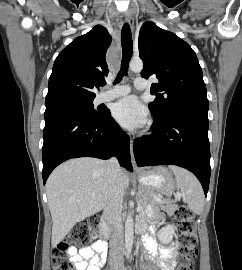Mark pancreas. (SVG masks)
<instances>
[{
  "instance_id": "cf45deb5",
  "label": "pancreas",
  "mask_w": 242,
  "mask_h": 270,
  "mask_svg": "<svg viewBox=\"0 0 242 270\" xmlns=\"http://www.w3.org/2000/svg\"><path fill=\"white\" fill-rule=\"evenodd\" d=\"M157 198V193L143 190L140 191L137 195V203L145 209L149 205L158 204L160 205L161 209L166 211L168 214H173L174 211L177 209V205L175 204H164V202L160 201Z\"/></svg>"
}]
</instances>
